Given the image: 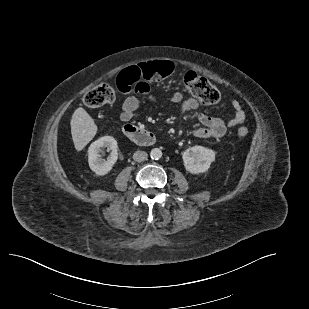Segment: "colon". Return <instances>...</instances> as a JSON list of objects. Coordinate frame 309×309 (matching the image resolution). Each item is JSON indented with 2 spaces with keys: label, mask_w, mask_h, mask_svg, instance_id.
Instances as JSON below:
<instances>
[{
  "label": "colon",
  "mask_w": 309,
  "mask_h": 309,
  "mask_svg": "<svg viewBox=\"0 0 309 309\" xmlns=\"http://www.w3.org/2000/svg\"><path fill=\"white\" fill-rule=\"evenodd\" d=\"M172 70L173 65L169 61H151L130 67L122 71L121 75H127L132 84H135L134 88L138 89L149 81H159L168 77ZM182 81L188 92L203 104H216L220 100L218 89L197 73L193 71L183 73ZM118 88L122 92L129 90L119 86ZM115 96L114 88L110 84L103 83L86 92L83 102L89 108H99L113 102ZM237 134L240 137H245L248 134V129L242 126L238 128Z\"/></svg>",
  "instance_id": "1"
}]
</instances>
